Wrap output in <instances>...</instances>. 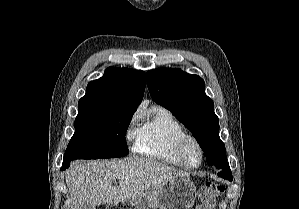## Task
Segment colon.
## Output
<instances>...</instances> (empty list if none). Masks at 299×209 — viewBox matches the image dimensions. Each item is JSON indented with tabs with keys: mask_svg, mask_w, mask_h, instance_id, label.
Returning a JSON list of instances; mask_svg holds the SVG:
<instances>
[{
	"mask_svg": "<svg viewBox=\"0 0 299 209\" xmlns=\"http://www.w3.org/2000/svg\"><path fill=\"white\" fill-rule=\"evenodd\" d=\"M224 193V186L218 183L206 182L201 187L202 206L199 209H212L216 200Z\"/></svg>",
	"mask_w": 299,
	"mask_h": 209,
	"instance_id": "1",
	"label": "colon"
}]
</instances>
